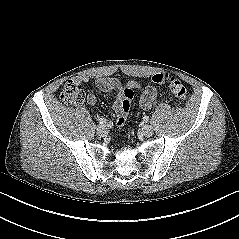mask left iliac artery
I'll return each instance as SVG.
<instances>
[{
	"mask_svg": "<svg viewBox=\"0 0 239 239\" xmlns=\"http://www.w3.org/2000/svg\"><path fill=\"white\" fill-rule=\"evenodd\" d=\"M143 120H144L145 122H148V121H149V117H148V116H144V117H143Z\"/></svg>",
	"mask_w": 239,
	"mask_h": 239,
	"instance_id": "obj_1",
	"label": "left iliac artery"
}]
</instances>
